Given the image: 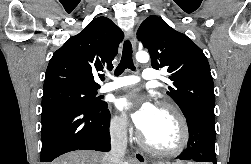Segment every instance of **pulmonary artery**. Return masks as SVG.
<instances>
[{
	"mask_svg": "<svg viewBox=\"0 0 251 164\" xmlns=\"http://www.w3.org/2000/svg\"><path fill=\"white\" fill-rule=\"evenodd\" d=\"M156 79H158L157 71L152 68H146L144 69V71L142 72L140 76L126 75V76L115 78L111 82L105 83L104 85L101 86V88L99 89V92L107 93V92L114 91L116 89H119L125 86L134 85L138 83L140 80L154 81Z\"/></svg>",
	"mask_w": 251,
	"mask_h": 164,
	"instance_id": "1",
	"label": "pulmonary artery"
}]
</instances>
